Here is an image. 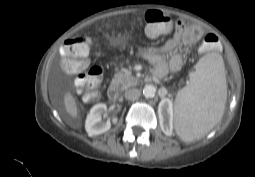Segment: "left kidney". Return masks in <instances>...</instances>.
Returning <instances> with one entry per match:
<instances>
[{
	"mask_svg": "<svg viewBox=\"0 0 255 177\" xmlns=\"http://www.w3.org/2000/svg\"><path fill=\"white\" fill-rule=\"evenodd\" d=\"M162 130L166 135L172 134L173 129V104L170 99H163L158 108Z\"/></svg>",
	"mask_w": 255,
	"mask_h": 177,
	"instance_id": "left-kidney-1",
	"label": "left kidney"
}]
</instances>
